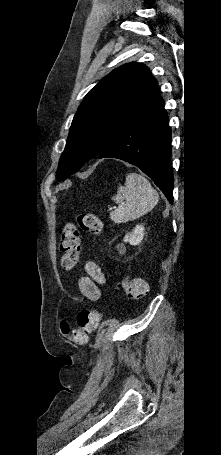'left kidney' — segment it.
Segmentation results:
<instances>
[{
  "label": "left kidney",
  "mask_w": 221,
  "mask_h": 455,
  "mask_svg": "<svg viewBox=\"0 0 221 455\" xmlns=\"http://www.w3.org/2000/svg\"><path fill=\"white\" fill-rule=\"evenodd\" d=\"M144 230L142 225H136L132 232L126 234L123 241L133 246L139 245L144 238Z\"/></svg>",
  "instance_id": "5707ae66"
}]
</instances>
